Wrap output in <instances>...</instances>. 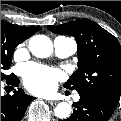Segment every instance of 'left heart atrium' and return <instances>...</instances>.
<instances>
[{"instance_id": "obj_1", "label": "left heart atrium", "mask_w": 121, "mask_h": 121, "mask_svg": "<svg viewBox=\"0 0 121 121\" xmlns=\"http://www.w3.org/2000/svg\"><path fill=\"white\" fill-rule=\"evenodd\" d=\"M61 79L62 75L56 69L34 63L25 66V85L35 94L46 95L54 92Z\"/></svg>"}]
</instances>
